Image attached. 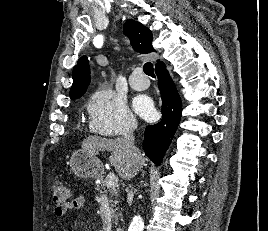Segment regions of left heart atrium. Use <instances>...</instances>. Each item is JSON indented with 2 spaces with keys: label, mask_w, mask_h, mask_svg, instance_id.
Listing matches in <instances>:
<instances>
[{
  "label": "left heart atrium",
  "mask_w": 268,
  "mask_h": 231,
  "mask_svg": "<svg viewBox=\"0 0 268 231\" xmlns=\"http://www.w3.org/2000/svg\"><path fill=\"white\" fill-rule=\"evenodd\" d=\"M133 108L137 114L147 120L155 117V108L152 100L145 95H139L133 100Z\"/></svg>",
  "instance_id": "obj_1"
}]
</instances>
